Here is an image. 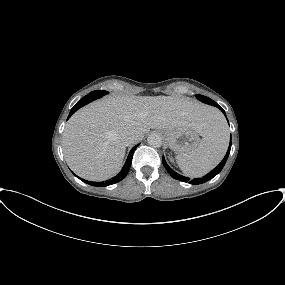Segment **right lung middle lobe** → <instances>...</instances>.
Listing matches in <instances>:
<instances>
[{
    "mask_svg": "<svg viewBox=\"0 0 285 285\" xmlns=\"http://www.w3.org/2000/svg\"><path fill=\"white\" fill-rule=\"evenodd\" d=\"M108 94L107 91H104V90H97V91H93L91 93H89L88 95H86L85 97H91V96H99L102 97L104 95Z\"/></svg>",
    "mask_w": 285,
    "mask_h": 285,
    "instance_id": "obj_1",
    "label": "right lung middle lobe"
}]
</instances>
